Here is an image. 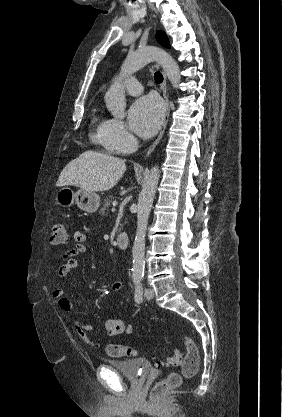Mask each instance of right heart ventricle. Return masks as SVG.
Listing matches in <instances>:
<instances>
[{
    "label": "right heart ventricle",
    "mask_w": 282,
    "mask_h": 417,
    "mask_svg": "<svg viewBox=\"0 0 282 417\" xmlns=\"http://www.w3.org/2000/svg\"><path fill=\"white\" fill-rule=\"evenodd\" d=\"M112 122L113 119L110 117L95 114L93 118L94 132L92 134L94 141L111 150H113L110 144Z\"/></svg>",
    "instance_id": "e07e8e85"
}]
</instances>
